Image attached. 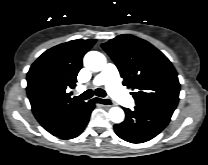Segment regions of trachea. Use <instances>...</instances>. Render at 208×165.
<instances>
[{"label":"trachea","mask_w":208,"mask_h":165,"mask_svg":"<svg viewBox=\"0 0 208 165\" xmlns=\"http://www.w3.org/2000/svg\"><path fill=\"white\" fill-rule=\"evenodd\" d=\"M94 93L99 97H106V92L104 90L98 88L95 90V92H93L92 90H87L84 93L80 94L78 96V98L81 100H87V99L91 98Z\"/></svg>","instance_id":"trachea-1"}]
</instances>
